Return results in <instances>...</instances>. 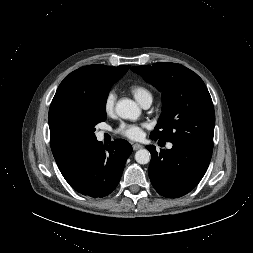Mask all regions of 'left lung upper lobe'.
Returning a JSON list of instances; mask_svg holds the SVG:
<instances>
[{
  "label": "left lung upper lobe",
  "instance_id": "obj_1",
  "mask_svg": "<svg viewBox=\"0 0 253 253\" xmlns=\"http://www.w3.org/2000/svg\"><path fill=\"white\" fill-rule=\"evenodd\" d=\"M131 70L162 92V113L150 137L212 152L215 112L203 80L192 70L171 62Z\"/></svg>",
  "mask_w": 253,
  "mask_h": 253
}]
</instances>
